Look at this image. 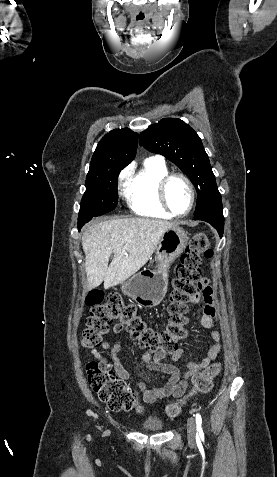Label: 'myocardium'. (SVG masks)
I'll return each instance as SVG.
<instances>
[{
	"mask_svg": "<svg viewBox=\"0 0 277 477\" xmlns=\"http://www.w3.org/2000/svg\"><path fill=\"white\" fill-rule=\"evenodd\" d=\"M174 178H180L182 179L188 186L189 188V192H190V204H189V207L188 209L183 212V213H177L175 212L169 202H168V198H167V188H168V185L169 183L171 182L172 179ZM158 198H159V201L162 205V207L164 208V210L166 212H168L170 215H172L173 217H185L187 215H189L191 213V211L193 210L194 208V205H195V201H196V192H195V187H194V184L193 182L191 181V179L183 174V173H180V172H172V173H167L165 176H163L161 178V180L159 181L158 183Z\"/></svg>",
	"mask_w": 277,
	"mask_h": 477,
	"instance_id": "1",
	"label": "myocardium"
}]
</instances>
